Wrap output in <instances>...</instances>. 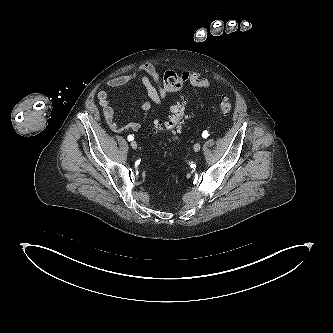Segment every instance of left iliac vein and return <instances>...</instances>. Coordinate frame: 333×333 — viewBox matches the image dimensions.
I'll return each instance as SVG.
<instances>
[{
    "mask_svg": "<svg viewBox=\"0 0 333 333\" xmlns=\"http://www.w3.org/2000/svg\"><path fill=\"white\" fill-rule=\"evenodd\" d=\"M200 148H201V145H200L199 143H196V144L194 145V151H195V152H198V151L200 150Z\"/></svg>",
    "mask_w": 333,
    "mask_h": 333,
    "instance_id": "4c4485c4",
    "label": "left iliac vein"
}]
</instances>
